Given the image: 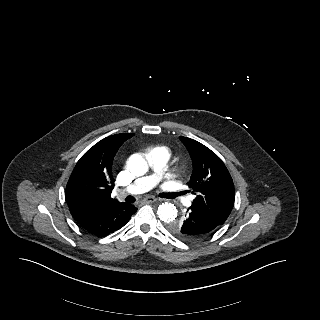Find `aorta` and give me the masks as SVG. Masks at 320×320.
Returning a JSON list of instances; mask_svg holds the SVG:
<instances>
[{"label": "aorta", "mask_w": 320, "mask_h": 320, "mask_svg": "<svg viewBox=\"0 0 320 320\" xmlns=\"http://www.w3.org/2000/svg\"><path fill=\"white\" fill-rule=\"evenodd\" d=\"M128 169L135 176H142L148 172L149 166L145 158L139 154L135 153L131 155L128 159ZM158 217L164 223H172L176 220L178 211L174 204L162 203L157 210Z\"/></svg>", "instance_id": "obj_1"}]
</instances>
